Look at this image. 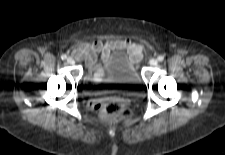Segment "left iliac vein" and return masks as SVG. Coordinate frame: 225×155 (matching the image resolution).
Listing matches in <instances>:
<instances>
[{
  "label": "left iliac vein",
  "mask_w": 225,
  "mask_h": 155,
  "mask_svg": "<svg viewBox=\"0 0 225 155\" xmlns=\"http://www.w3.org/2000/svg\"><path fill=\"white\" fill-rule=\"evenodd\" d=\"M157 64H158V60L157 59L153 58V59L150 60V65L151 66H156Z\"/></svg>",
  "instance_id": "4c4485c4"
}]
</instances>
